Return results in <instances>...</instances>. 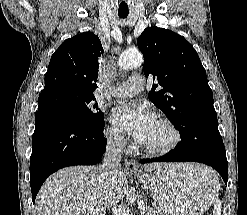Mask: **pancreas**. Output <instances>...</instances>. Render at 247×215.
<instances>
[{"instance_id": "pancreas-1", "label": "pancreas", "mask_w": 247, "mask_h": 215, "mask_svg": "<svg viewBox=\"0 0 247 215\" xmlns=\"http://www.w3.org/2000/svg\"><path fill=\"white\" fill-rule=\"evenodd\" d=\"M141 215H163L159 210L144 206L139 208Z\"/></svg>"}]
</instances>
